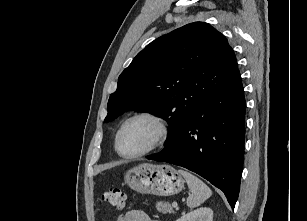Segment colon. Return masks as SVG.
Instances as JSON below:
<instances>
[{
	"mask_svg": "<svg viewBox=\"0 0 307 221\" xmlns=\"http://www.w3.org/2000/svg\"><path fill=\"white\" fill-rule=\"evenodd\" d=\"M102 200L116 208H123L126 203V194L119 188L112 187L103 192Z\"/></svg>",
	"mask_w": 307,
	"mask_h": 221,
	"instance_id": "5ec220e1",
	"label": "colon"
}]
</instances>
